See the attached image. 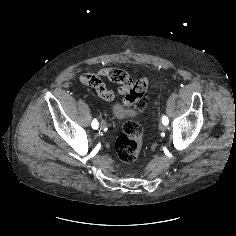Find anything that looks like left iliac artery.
Returning a JSON list of instances; mask_svg holds the SVG:
<instances>
[{"mask_svg": "<svg viewBox=\"0 0 236 236\" xmlns=\"http://www.w3.org/2000/svg\"><path fill=\"white\" fill-rule=\"evenodd\" d=\"M162 123H163L164 125H168L169 120H168V118H167L166 116H162Z\"/></svg>", "mask_w": 236, "mask_h": 236, "instance_id": "1", "label": "left iliac artery"}]
</instances>
